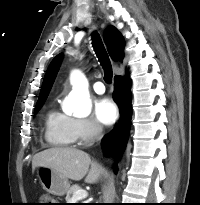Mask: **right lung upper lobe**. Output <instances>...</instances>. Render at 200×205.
Listing matches in <instances>:
<instances>
[{"mask_svg":"<svg viewBox=\"0 0 200 205\" xmlns=\"http://www.w3.org/2000/svg\"><path fill=\"white\" fill-rule=\"evenodd\" d=\"M104 40L108 46V51L112 59L114 61H122L124 57L125 43L122 35L118 32V30L113 26H109L105 31ZM61 60L62 54L56 56L48 67L38 100L47 98L54 79L57 75Z\"/></svg>","mask_w":200,"mask_h":205,"instance_id":"1","label":"right lung upper lobe"}]
</instances>
